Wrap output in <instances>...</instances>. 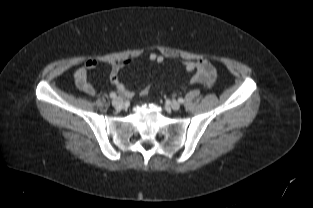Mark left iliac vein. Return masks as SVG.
<instances>
[{
	"label": "left iliac vein",
	"instance_id": "left-iliac-vein-1",
	"mask_svg": "<svg viewBox=\"0 0 313 208\" xmlns=\"http://www.w3.org/2000/svg\"><path fill=\"white\" fill-rule=\"evenodd\" d=\"M170 107L173 109V110H179L180 108V103L178 101H172L170 103Z\"/></svg>",
	"mask_w": 313,
	"mask_h": 208
}]
</instances>
